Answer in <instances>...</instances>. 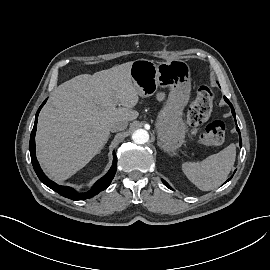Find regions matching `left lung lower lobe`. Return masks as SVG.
<instances>
[{"instance_id": "1", "label": "left lung lower lobe", "mask_w": 270, "mask_h": 270, "mask_svg": "<svg viewBox=\"0 0 270 270\" xmlns=\"http://www.w3.org/2000/svg\"><path fill=\"white\" fill-rule=\"evenodd\" d=\"M224 99H225V101L230 105L232 114H233V116H234V118H235V110H234V108H233V105L229 102V100H228L226 97H224ZM235 121H236V118H235ZM236 125H237V122H236ZM236 129H237V131H238V133H239V135H240V131H239L238 126H236ZM241 145H242V142H241V135H240V147H241ZM231 178H232V177H231ZM231 178H229L226 182H228ZM162 182H163L169 189H172V188L168 185V183H167L166 181L162 180Z\"/></svg>"}]
</instances>
